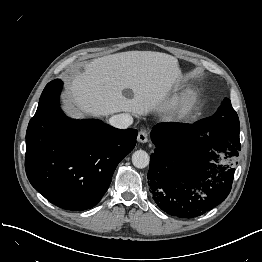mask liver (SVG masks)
Instances as JSON below:
<instances>
[{
    "instance_id": "obj_1",
    "label": "liver",
    "mask_w": 262,
    "mask_h": 262,
    "mask_svg": "<svg viewBox=\"0 0 262 262\" xmlns=\"http://www.w3.org/2000/svg\"><path fill=\"white\" fill-rule=\"evenodd\" d=\"M182 78L178 60L165 53L128 51L92 60L68 85L67 108L80 116L118 112L134 116L159 106ZM130 89L131 97L123 95Z\"/></svg>"
}]
</instances>
